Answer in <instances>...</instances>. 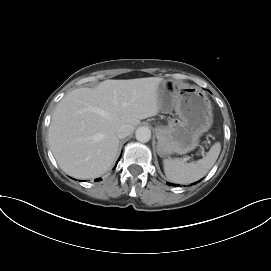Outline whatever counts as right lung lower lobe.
<instances>
[{
  "mask_svg": "<svg viewBox=\"0 0 271 271\" xmlns=\"http://www.w3.org/2000/svg\"><path fill=\"white\" fill-rule=\"evenodd\" d=\"M120 159V158H119ZM119 161V160H118ZM99 180H101V178H99V179H96L95 181H99Z\"/></svg>",
  "mask_w": 271,
  "mask_h": 271,
  "instance_id": "obj_1",
  "label": "right lung lower lobe"
}]
</instances>
